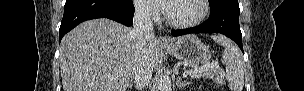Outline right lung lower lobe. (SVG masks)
I'll list each match as a JSON object with an SVG mask.
<instances>
[{"mask_svg":"<svg viewBox=\"0 0 304 91\" xmlns=\"http://www.w3.org/2000/svg\"><path fill=\"white\" fill-rule=\"evenodd\" d=\"M134 12L132 0H66L59 37L62 39L81 22L95 18H108L131 26Z\"/></svg>","mask_w":304,"mask_h":91,"instance_id":"98d812e1","label":"right lung lower lobe"}]
</instances>
